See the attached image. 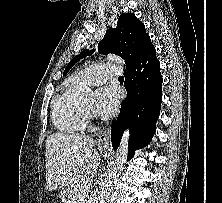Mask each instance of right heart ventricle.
<instances>
[{
    "instance_id": "obj_1",
    "label": "right heart ventricle",
    "mask_w": 222,
    "mask_h": 203,
    "mask_svg": "<svg viewBox=\"0 0 222 203\" xmlns=\"http://www.w3.org/2000/svg\"><path fill=\"white\" fill-rule=\"evenodd\" d=\"M82 84L74 78L67 80L52 103V121L56 128L66 134H78L87 126L84 100L80 95Z\"/></svg>"
}]
</instances>
